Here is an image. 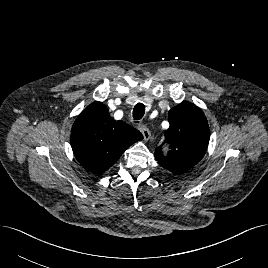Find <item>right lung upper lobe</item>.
<instances>
[{
  "label": "right lung upper lobe",
  "mask_w": 268,
  "mask_h": 268,
  "mask_svg": "<svg viewBox=\"0 0 268 268\" xmlns=\"http://www.w3.org/2000/svg\"><path fill=\"white\" fill-rule=\"evenodd\" d=\"M143 135L124 121L114 120L107 107L95 101L73 124L70 142L78 162L88 171L101 174L109 169Z\"/></svg>",
  "instance_id": "cb5924a9"
}]
</instances>
